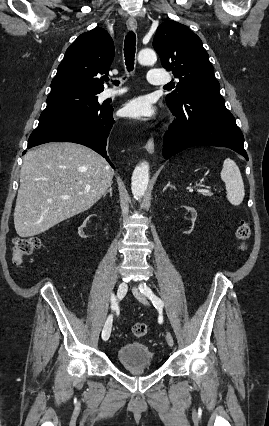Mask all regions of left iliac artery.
<instances>
[{
	"mask_svg": "<svg viewBox=\"0 0 269 426\" xmlns=\"http://www.w3.org/2000/svg\"><path fill=\"white\" fill-rule=\"evenodd\" d=\"M139 289L141 293H143L146 297H148L151 300L155 308L160 309L164 306L163 301L160 298H158L156 295H154V293L148 286L144 284V285H141Z\"/></svg>",
	"mask_w": 269,
	"mask_h": 426,
	"instance_id": "1",
	"label": "left iliac artery"
}]
</instances>
